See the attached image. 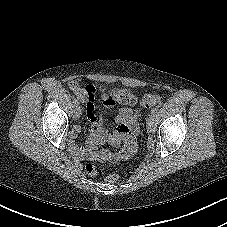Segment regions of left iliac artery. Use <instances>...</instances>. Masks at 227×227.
I'll return each mask as SVG.
<instances>
[{
	"label": "left iliac artery",
	"instance_id": "left-iliac-artery-1",
	"mask_svg": "<svg viewBox=\"0 0 227 227\" xmlns=\"http://www.w3.org/2000/svg\"><path fill=\"white\" fill-rule=\"evenodd\" d=\"M158 109H159V106H156L155 108H153L151 110V114L155 115L157 113Z\"/></svg>",
	"mask_w": 227,
	"mask_h": 227
}]
</instances>
